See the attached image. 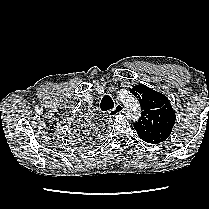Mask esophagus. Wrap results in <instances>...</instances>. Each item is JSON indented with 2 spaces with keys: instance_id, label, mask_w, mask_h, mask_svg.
I'll return each instance as SVG.
<instances>
[{
  "instance_id": "34e87169",
  "label": "esophagus",
  "mask_w": 209,
  "mask_h": 209,
  "mask_svg": "<svg viewBox=\"0 0 209 209\" xmlns=\"http://www.w3.org/2000/svg\"><path fill=\"white\" fill-rule=\"evenodd\" d=\"M123 110H124L123 105L120 104V103H117V104L115 105V107L109 111V114H110L111 116H115V115H117V114L122 113Z\"/></svg>"
}]
</instances>
